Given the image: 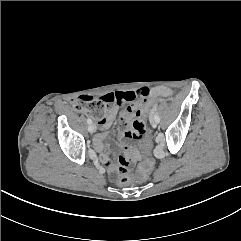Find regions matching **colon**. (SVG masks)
<instances>
[{
	"label": "colon",
	"mask_w": 241,
	"mask_h": 241,
	"mask_svg": "<svg viewBox=\"0 0 241 241\" xmlns=\"http://www.w3.org/2000/svg\"><path fill=\"white\" fill-rule=\"evenodd\" d=\"M116 103V99L111 95H105L103 97H93V96H80L79 98L72 101L71 106L79 112L88 113L96 120L100 121L108 116L111 106ZM169 105L174 103L172 98L167 100ZM155 103L153 101L145 102L140 106L139 117L143 122L149 120L148 110L153 108ZM151 140L143 139L140 145V153L142 156V166L141 171L144 172V175L149 169L151 163L150 153H151ZM117 172L121 173V176L118 178L119 185H127L132 179L127 175L130 168V159L127 156H120L116 163Z\"/></svg>",
	"instance_id": "5ec220e1"
}]
</instances>
